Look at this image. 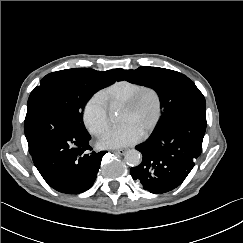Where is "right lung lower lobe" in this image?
I'll list each match as a JSON object with an SVG mask.
<instances>
[{
    "label": "right lung lower lobe",
    "instance_id": "98d812e1",
    "mask_svg": "<svg viewBox=\"0 0 243 243\" xmlns=\"http://www.w3.org/2000/svg\"><path fill=\"white\" fill-rule=\"evenodd\" d=\"M24 131L34 165L49 186L66 194L92 187L106 151L90 152L87 130L62 110L34 103L27 108Z\"/></svg>",
    "mask_w": 243,
    "mask_h": 243
}]
</instances>
